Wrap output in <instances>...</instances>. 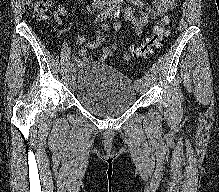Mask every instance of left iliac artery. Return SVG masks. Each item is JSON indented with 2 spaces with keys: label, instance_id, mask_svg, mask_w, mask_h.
<instances>
[{
  "label": "left iliac artery",
  "instance_id": "left-iliac-artery-1",
  "mask_svg": "<svg viewBox=\"0 0 219 192\" xmlns=\"http://www.w3.org/2000/svg\"><path fill=\"white\" fill-rule=\"evenodd\" d=\"M119 15H120V10H119V7L117 6L115 8V11H114V17L118 18ZM144 73H145L146 76H150V71L149 70H146Z\"/></svg>",
  "mask_w": 219,
  "mask_h": 192
}]
</instances>
